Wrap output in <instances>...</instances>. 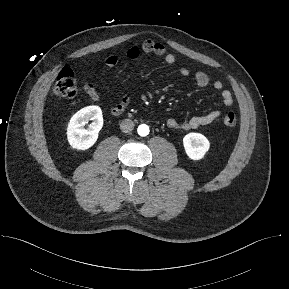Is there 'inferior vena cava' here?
<instances>
[{"mask_svg": "<svg viewBox=\"0 0 289 289\" xmlns=\"http://www.w3.org/2000/svg\"><path fill=\"white\" fill-rule=\"evenodd\" d=\"M120 129L124 133H128L134 129V122L130 119H124L120 123Z\"/></svg>", "mask_w": 289, "mask_h": 289, "instance_id": "obj_1", "label": "inferior vena cava"}]
</instances>
